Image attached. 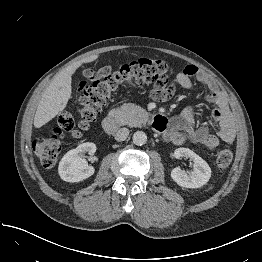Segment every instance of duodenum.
Instances as JSON below:
<instances>
[{
  "mask_svg": "<svg viewBox=\"0 0 262 262\" xmlns=\"http://www.w3.org/2000/svg\"><path fill=\"white\" fill-rule=\"evenodd\" d=\"M151 123L158 128L164 121L161 117H155L152 118ZM102 126L106 132L115 133L120 127L119 119L116 115H108L103 119Z\"/></svg>",
  "mask_w": 262,
  "mask_h": 262,
  "instance_id": "1",
  "label": "duodenum"
}]
</instances>
